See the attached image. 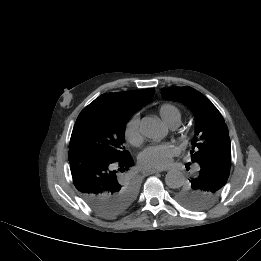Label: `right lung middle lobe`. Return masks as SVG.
Wrapping results in <instances>:
<instances>
[{
  "mask_svg": "<svg viewBox=\"0 0 261 261\" xmlns=\"http://www.w3.org/2000/svg\"><path fill=\"white\" fill-rule=\"evenodd\" d=\"M127 121V118L117 115L105 104L94 100L79 114L72 131L69 148L82 146L105 157L127 158L130 154L122 147ZM137 190L136 181L126 176L115 195L119 201L117 214H121L131 205ZM113 195H105V198H111ZM91 209L100 216L112 217L93 207Z\"/></svg>",
  "mask_w": 261,
  "mask_h": 261,
  "instance_id": "right-lung-middle-lobe-1",
  "label": "right lung middle lobe"
}]
</instances>
